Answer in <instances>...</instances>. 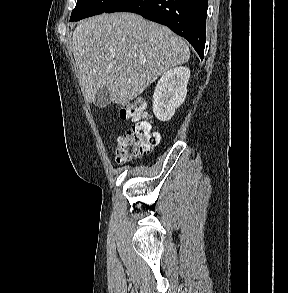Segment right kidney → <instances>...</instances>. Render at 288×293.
<instances>
[{
	"instance_id": "ca27d5eb",
	"label": "right kidney",
	"mask_w": 288,
	"mask_h": 293,
	"mask_svg": "<svg viewBox=\"0 0 288 293\" xmlns=\"http://www.w3.org/2000/svg\"><path fill=\"white\" fill-rule=\"evenodd\" d=\"M190 70L175 67L166 71L159 79L153 94V112L157 119L167 121L184 102Z\"/></svg>"
}]
</instances>
